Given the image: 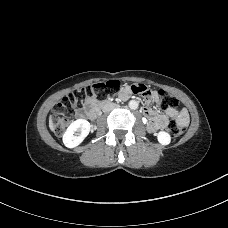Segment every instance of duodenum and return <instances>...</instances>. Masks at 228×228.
Masks as SVG:
<instances>
[{
	"mask_svg": "<svg viewBox=\"0 0 228 228\" xmlns=\"http://www.w3.org/2000/svg\"><path fill=\"white\" fill-rule=\"evenodd\" d=\"M106 107H112L115 108L117 107V103L110 101V100H106V101H102L98 104H95L88 112H87V117H89L90 119H95L98 117V115L100 114V112L106 108ZM159 124V120L155 117L150 116V118L148 119V123H147V127L149 130L153 131L156 129V125Z\"/></svg>",
	"mask_w": 228,
	"mask_h": 228,
	"instance_id": "obj_1",
	"label": "duodenum"
}]
</instances>
